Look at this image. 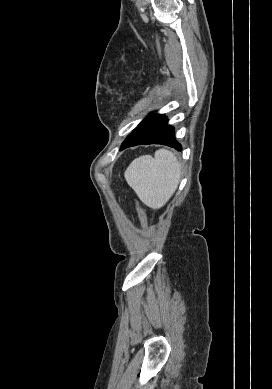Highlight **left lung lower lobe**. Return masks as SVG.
<instances>
[{
	"mask_svg": "<svg viewBox=\"0 0 272 389\" xmlns=\"http://www.w3.org/2000/svg\"><path fill=\"white\" fill-rule=\"evenodd\" d=\"M164 115L153 114L145 118L122 143L120 150L141 144H163L181 150L175 139L174 128Z\"/></svg>",
	"mask_w": 272,
	"mask_h": 389,
	"instance_id": "0a47b994",
	"label": "left lung lower lobe"
}]
</instances>
